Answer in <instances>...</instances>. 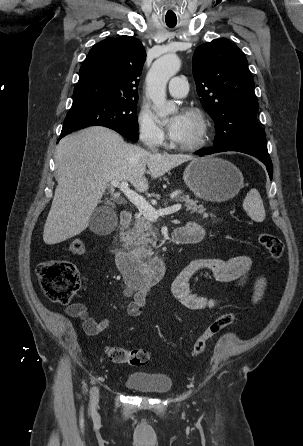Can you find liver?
<instances>
[{
  "mask_svg": "<svg viewBox=\"0 0 303 446\" xmlns=\"http://www.w3.org/2000/svg\"><path fill=\"white\" fill-rule=\"evenodd\" d=\"M194 159L151 153L101 126L64 137L55 151L58 185L44 226V242L58 244L84 231L111 182L128 181L137 191L146 192L147 168L156 179Z\"/></svg>",
  "mask_w": 303,
  "mask_h": 446,
  "instance_id": "6515ba94",
  "label": "liver"
}]
</instances>
